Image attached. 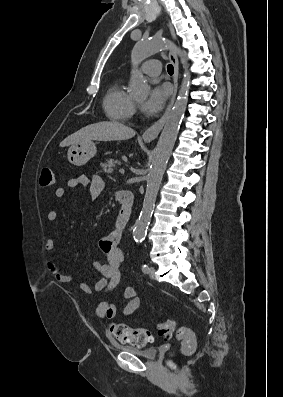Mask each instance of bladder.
<instances>
[{
	"mask_svg": "<svg viewBox=\"0 0 283 397\" xmlns=\"http://www.w3.org/2000/svg\"><path fill=\"white\" fill-rule=\"evenodd\" d=\"M117 348L125 352L133 353L145 359H154L158 354V349L156 347L137 348L128 345H118Z\"/></svg>",
	"mask_w": 283,
	"mask_h": 397,
	"instance_id": "bladder-1",
	"label": "bladder"
}]
</instances>
